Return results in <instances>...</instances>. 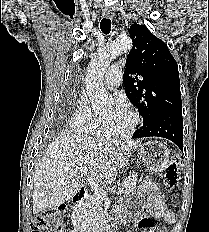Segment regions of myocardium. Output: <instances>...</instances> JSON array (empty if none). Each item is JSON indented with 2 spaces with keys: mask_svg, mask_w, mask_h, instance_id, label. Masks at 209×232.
<instances>
[{
  "mask_svg": "<svg viewBox=\"0 0 209 232\" xmlns=\"http://www.w3.org/2000/svg\"><path fill=\"white\" fill-rule=\"evenodd\" d=\"M126 111L132 117V124H131L130 128L126 132H123V133H113L110 131L106 119L103 118L102 119V129H103L105 136L110 137V138H114V139H124V138L130 137L135 132V130L137 129V127L140 124V116L132 108H127Z\"/></svg>",
  "mask_w": 209,
  "mask_h": 232,
  "instance_id": "obj_1",
  "label": "myocardium"
}]
</instances>
